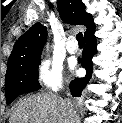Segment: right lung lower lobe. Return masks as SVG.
Instances as JSON below:
<instances>
[{"mask_svg": "<svg viewBox=\"0 0 122 123\" xmlns=\"http://www.w3.org/2000/svg\"><path fill=\"white\" fill-rule=\"evenodd\" d=\"M94 31L85 36L86 46L83 50L81 61L80 59L78 60V62L81 63V65L86 69V76L80 79H75L70 83V91L73 97L81 96L82 91L85 89L92 75V57L97 52Z\"/></svg>", "mask_w": 122, "mask_h": 123, "instance_id": "right-lung-lower-lobe-1", "label": "right lung lower lobe"}]
</instances>
